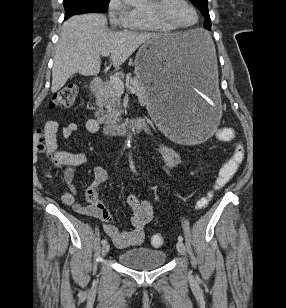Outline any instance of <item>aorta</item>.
<instances>
[{
  "label": "aorta",
  "instance_id": "762f6f07",
  "mask_svg": "<svg viewBox=\"0 0 286 308\" xmlns=\"http://www.w3.org/2000/svg\"><path fill=\"white\" fill-rule=\"evenodd\" d=\"M123 1L128 4H139V3L146 2L147 0H123ZM131 140H132V135L129 133L126 143L130 145Z\"/></svg>",
  "mask_w": 286,
  "mask_h": 308
}]
</instances>
